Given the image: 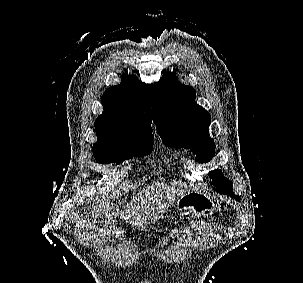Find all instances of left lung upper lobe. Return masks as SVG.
I'll use <instances>...</instances> for the list:
<instances>
[{
	"mask_svg": "<svg viewBox=\"0 0 303 283\" xmlns=\"http://www.w3.org/2000/svg\"><path fill=\"white\" fill-rule=\"evenodd\" d=\"M192 87L181 84L173 73H165L155 84L153 121L165 143L184 147L196 154V161L206 163L214 155L215 143L209 137L210 114L195 102ZM215 191L234 195L232 184L220 170L209 172Z\"/></svg>",
	"mask_w": 303,
	"mask_h": 283,
	"instance_id": "1",
	"label": "left lung upper lobe"
}]
</instances>
